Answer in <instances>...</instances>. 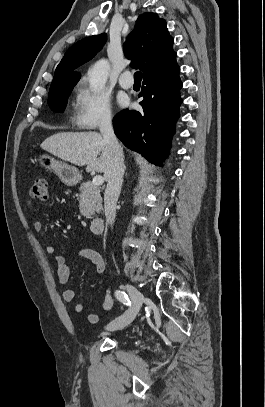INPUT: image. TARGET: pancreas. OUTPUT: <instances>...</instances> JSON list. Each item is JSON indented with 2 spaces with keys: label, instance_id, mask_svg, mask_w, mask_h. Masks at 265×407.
I'll use <instances>...</instances> for the list:
<instances>
[{
  "label": "pancreas",
  "instance_id": "pancreas-1",
  "mask_svg": "<svg viewBox=\"0 0 265 407\" xmlns=\"http://www.w3.org/2000/svg\"><path fill=\"white\" fill-rule=\"evenodd\" d=\"M79 209L83 216L91 217L95 212L102 210V198L100 189L92 182L83 183L80 188Z\"/></svg>",
  "mask_w": 265,
  "mask_h": 407
}]
</instances>
